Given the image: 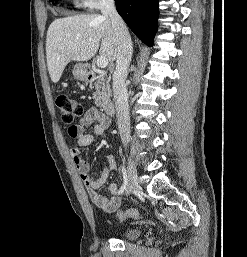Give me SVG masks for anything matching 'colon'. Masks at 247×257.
<instances>
[{
    "instance_id": "obj_1",
    "label": "colon",
    "mask_w": 247,
    "mask_h": 257,
    "mask_svg": "<svg viewBox=\"0 0 247 257\" xmlns=\"http://www.w3.org/2000/svg\"><path fill=\"white\" fill-rule=\"evenodd\" d=\"M56 105L60 111L61 119L65 124L73 125L76 118L84 114L81 103L66 94H60L56 98ZM141 214L135 209H129L119 214L121 221L126 219H138Z\"/></svg>"
}]
</instances>
